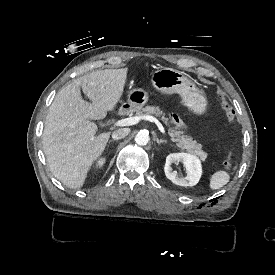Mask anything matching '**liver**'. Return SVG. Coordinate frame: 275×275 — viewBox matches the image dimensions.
Instances as JSON below:
<instances>
[{
	"label": "liver",
	"instance_id": "1",
	"mask_svg": "<svg viewBox=\"0 0 275 275\" xmlns=\"http://www.w3.org/2000/svg\"><path fill=\"white\" fill-rule=\"evenodd\" d=\"M128 71L106 69L79 77L58 92L49 108L43 151L54 177L71 189L84 186L106 148L111 132L95 135L97 125L92 120L116 110ZM81 87L92 104L82 98Z\"/></svg>",
	"mask_w": 275,
	"mask_h": 275
}]
</instances>
